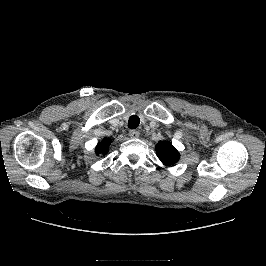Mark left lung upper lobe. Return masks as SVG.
<instances>
[{
	"label": "left lung upper lobe",
	"mask_w": 266,
	"mask_h": 266,
	"mask_svg": "<svg viewBox=\"0 0 266 266\" xmlns=\"http://www.w3.org/2000/svg\"><path fill=\"white\" fill-rule=\"evenodd\" d=\"M156 152L158 158L165 165L175 164L180 158L179 152L167 141H160L156 145Z\"/></svg>",
	"instance_id": "obj_1"
}]
</instances>
